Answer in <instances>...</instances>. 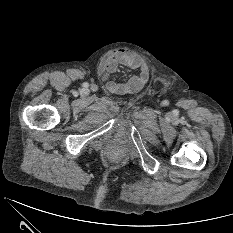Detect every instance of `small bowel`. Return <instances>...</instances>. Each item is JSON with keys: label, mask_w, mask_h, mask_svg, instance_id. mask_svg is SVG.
<instances>
[{"label": "small bowel", "mask_w": 233, "mask_h": 233, "mask_svg": "<svg viewBox=\"0 0 233 233\" xmlns=\"http://www.w3.org/2000/svg\"><path fill=\"white\" fill-rule=\"evenodd\" d=\"M119 64L137 70L138 74L124 83L109 80V77L116 71ZM98 73L100 78L106 82L107 90L112 94L118 95L140 91L149 79V69L145 62L126 49H118L108 55L100 65Z\"/></svg>", "instance_id": "obj_1"}]
</instances>
